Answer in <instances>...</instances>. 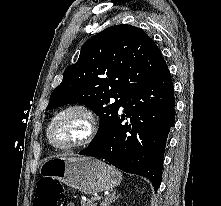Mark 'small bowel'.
<instances>
[{
  "mask_svg": "<svg viewBox=\"0 0 221 206\" xmlns=\"http://www.w3.org/2000/svg\"><path fill=\"white\" fill-rule=\"evenodd\" d=\"M67 206H74L72 203H68Z\"/></svg>",
  "mask_w": 221,
  "mask_h": 206,
  "instance_id": "small-bowel-1",
  "label": "small bowel"
}]
</instances>
